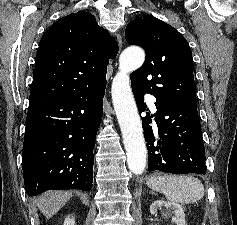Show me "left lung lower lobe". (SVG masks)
<instances>
[{
    "label": "left lung lower lobe",
    "mask_w": 237,
    "mask_h": 225,
    "mask_svg": "<svg viewBox=\"0 0 237 225\" xmlns=\"http://www.w3.org/2000/svg\"><path fill=\"white\" fill-rule=\"evenodd\" d=\"M139 112L147 111L144 91L132 86ZM154 115L142 117L148 149V170L167 173L206 174L205 149L196 102H166L157 99Z\"/></svg>",
    "instance_id": "obj_1"
}]
</instances>
